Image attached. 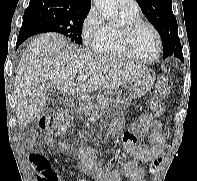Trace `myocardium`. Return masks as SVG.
Instances as JSON below:
<instances>
[{"label":"myocardium","mask_w":197,"mask_h":181,"mask_svg":"<svg viewBox=\"0 0 197 181\" xmlns=\"http://www.w3.org/2000/svg\"><path fill=\"white\" fill-rule=\"evenodd\" d=\"M142 26L149 27L157 39V52L151 58L140 57L136 54V52L133 49L132 42H133L134 34ZM119 39H120V43H121L123 50L128 54V56L131 59L142 62V63L155 62L156 60L159 59L163 50L161 36L157 28L149 21L143 20L141 18L126 21L122 23L119 29Z\"/></svg>","instance_id":"myocardium-1"}]
</instances>
